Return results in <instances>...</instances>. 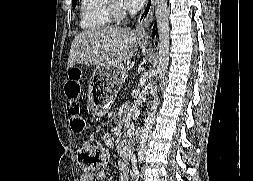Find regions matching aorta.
<instances>
[{"mask_svg": "<svg viewBox=\"0 0 253 181\" xmlns=\"http://www.w3.org/2000/svg\"><path fill=\"white\" fill-rule=\"evenodd\" d=\"M155 6V18L157 24V33H158V66L157 73L160 86L164 81L165 74L168 68L169 62V47H170V38H169V20H168V8L167 0H154ZM159 104V97L155 96L153 101V107H149V112H147L146 123L142 127V138L141 145L139 146L140 152L138 153L139 157H146L147 150L150 149V132L153 128L155 112L157 105Z\"/></svg>", "mask_w": 253, "mask_h": 181, "instance_id": "aorta-1", "label": "aorta"}]
</instances>
